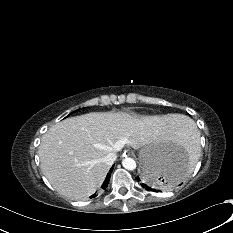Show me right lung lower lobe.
<instances>
[{
	"instance_id": "1",
	"label": "right lung lower lobe",
	"mask_w": 233,
	"mask_h": 233,
	"mask_svg": "<svg viewBox=\"0 0 233 233\" xmlns=\"http://www.w3.org/2000/svg\"><path fill=\"white\" fill-rule=\"evenodd\" d=\"M112 170H113V167L110 169V171H109V173L107 174V176H106V178H105V180H104V182H103V184H102V186H101V188L102 189H106L107 188V186H108V183H109V180H110V176H111V172H112ZM96 195L94 194V195H92L90 198H93V197H95Z\"/></svg>"
}]
</instances>
